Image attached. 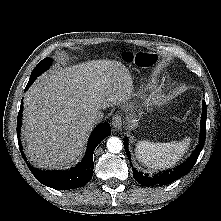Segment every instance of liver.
<instances>
[{
    "instance_id": "1",
    "label": "liver",
    "mask_w": 221,
    "mask_h": 221,
    "mask_svg": "<svg viewBox=\"0 0 221 221\" xmlns=\"http://www.w3.org/2000/svg\"><path fill=\"white\" fill-rule=\"evenodd\" d=\"M133 81L115 60H91L38 78L25 94V153L45 169H67L82 157L96 111L125 104Z\"/></svg>"
}]
</instances>
